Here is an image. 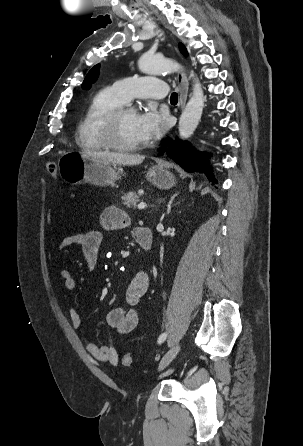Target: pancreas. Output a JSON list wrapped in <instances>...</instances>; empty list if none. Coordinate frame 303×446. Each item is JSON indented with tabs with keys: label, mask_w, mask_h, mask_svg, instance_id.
Segmentation results:
<instances>
[{
	"label": "pancreas",
	"mask_w": 303,
	"mask_h": 446,
	"mask_svg": "<svg viewBox=\"0 0 303 446\" xmlns=\"http://www.w3.org/2000/svg\"><path fill=\"white\" fill-rule=\"evenodd\" d=\"M123 204L128 208L136 207L139 202V196L135 192H128L122 196Z\"/></svg>",
	"instance_id": "obj_1"
}]
</instances>
